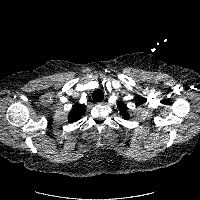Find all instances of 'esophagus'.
Segmentation results:
<instances>
[{"label": "esophagus", "mask_w": 200, "mask_h": 200, "mask_svg": "<svg viewBox=\"0 0 200 200\" xmlns=\"http://www.w3.org/2000/svg\"><path fill=\"white\" fill-rule=\"evenodd\" d=\"M99 104H105V101H100Z\"/></svg>", "instance_id": "obj_1"}]
</instances>
